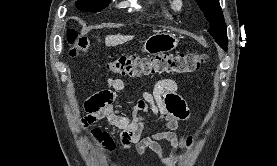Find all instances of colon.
Masks as SVG:
<instances>
[{"label": "colon", "instance_id": "5ec220e1", "mask_svg": "<svg viewBox=\"0 0 277 166\" xmlns=\"http://www.w3.org/2000/svg\"><path fill=\"white\" fill-rule=\"evenodd\" d=\"M70 54L76 56L90 48L87 38H77L73 31L66 33ZM206 62V55L198 52L187 54H155L151 56L128 55L110 61V72L123 76L154 74H187L197 71Z\"/></svg>", "mask_w": 277, "mask_h": 166}]
</instances>
